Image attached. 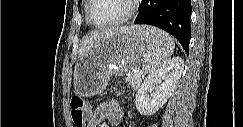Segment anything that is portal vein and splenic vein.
I'll return each mask as SVG.
<instances>
[{"label": "portal vein and splenic vein", "instance_id": "obj_1", "mask_svg": "<svg viewBox=\"0 0 243 127\" xmlns=\"http://www.w3.org/2000/svg\"><path fill=\"white\" fill-rule=\"evenodd\" d=\"M133 72H134V74H136L137 76H141V74H142V72L139 71V70H134Z\"/></svg>", "mask_w": 243, "mask_h": 127}]
</instances>
